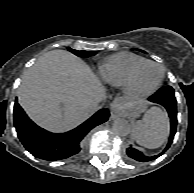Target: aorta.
<instances>
[{"instance_id":"aorta-1","label":"aorta","mask_w":194,"mask_h":193,"mask_svg":"<svg viewBox=\"0 0 194 193\" xmlns=\"http://www.w3.org/2000/svg\"><path fill=\"white\" fill-rule=\"evenodd\" d=\"M112 128H113V131L119 136H127L131 131L130 124L125 119L115 120Z\"/></svg>"}]
</instances>
